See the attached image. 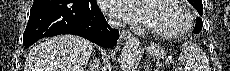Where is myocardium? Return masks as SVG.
<instances>
[{"instance_id": "1", "label": "myocardium", "mask_w": 230, "mask_h": 71, "mask_svg": "<svg viewBox=\"0 0 230 71\" xmlns=\"http://www.w3.org/2000/svg\"><path fill=\"white\" fill-rule=\"evenodd\" d=\"M170 2L171 4L175 5L177 8L181 10L185 17V24L176 30H160L153 28L151 26H146V30L148 31L149 34L160 37V38H178L186 33H188L194 24V17L191 12V10L186 6V4L183 1H178V0H163Z\"/></svg>"}]
</instances>
